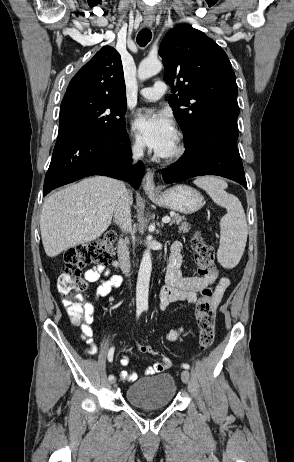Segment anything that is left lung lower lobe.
<instances>
[{"instance_id":"left-lung-lower-lobe-1","label":"left lung lower lobe","mask_w":294,"mask_h":462,"mask_svg":"<svg viewBox=\"0 0 294 462\" xmlns=\"http://www.w3.org/2000/svg\"><path fill=\"white\" fill-rule=\"evenodd\" d=\"M239 108L225 106L213 113L198 132L184 142L187 154L162 171L164 181L173 183L195 176L218 175L247 189L242 161L236 146Z\"/></svg>"}]
</instances>
